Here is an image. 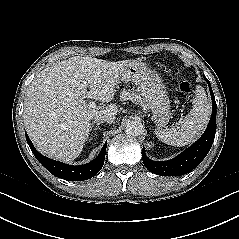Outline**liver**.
<instances>
[{"instance_id":"1","label":"liver","mask_w":239,"mask_h":239,"mask_svg":"<svg viewBox=\"0 0 239 239\" xmlns=\"http://www.w3.org/2000/svg\"><path fill=\"white\" fill-rule=\"evenodd\" d=\"M128 63L74 56L42 70L29 86L23 114L37 150L64 162L76 159L88 138L90 120L118 112L114 105L92 109L84 99L111 102Z\"/></svg>"}]
</instances>
